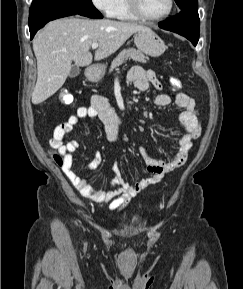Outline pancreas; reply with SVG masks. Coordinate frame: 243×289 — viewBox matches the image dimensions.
I'll return each instance as SVG.
<instances>
[{
  "mask_svg": "<svg viewBox=\"0 0 243 289\" xmlns=\"http://www.w3.org/2000/svg\"><path fill=\"white\" fill-rule=\"evenodd\" d=\"M129 58L140 63H146L149 60V58L145 56L140 50H137L135 48L124 49L112 61L109 72L117 69L125 60Z\"/></svg>",
  "mask_w": 243,
  "mask_h": 289,
  "instance_id": "obj_1",
  "label": "pancreas"
}]
</instances>
